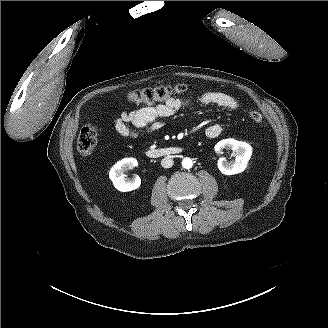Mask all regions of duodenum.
<instances>
[{"label": "duodenum", "instance_id": "obj_1", "mask_svg": "<svg viewBox=\"0 0 328 328\" xmlns=\"http://www.w3.org/2000/svg\"><path fill=\"white\" fill-rule=\"evenodd\" d=\"M179 147H165V148H155L146 151V155L150 158H161L177 155L181 152Z\"/></svg>", "mask_w": 328, "mask_h": 328}]
</instances>
